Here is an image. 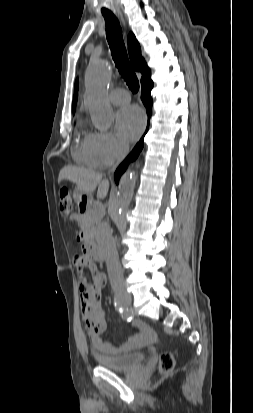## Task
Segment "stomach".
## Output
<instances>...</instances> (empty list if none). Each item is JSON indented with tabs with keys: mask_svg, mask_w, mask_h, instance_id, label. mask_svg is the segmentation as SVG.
Segmentation results:
<instances>
[{
	"mask_svg": "<svg viewBox=\"0 0 253 413\" xmlns=\"http://www.w3.org/2000/svg\"><path fill=\"white\" fill-rule=\"evenodd\" d=\"M73 198L78 205H89L91 202V195L79 189L78 187L75 188L73 192Z\"/></svg>",
	"mask_w": 253,
	"mask_h": 413,
	"instance_id": "1",
	"label": "stomach"
}]
</instances>
